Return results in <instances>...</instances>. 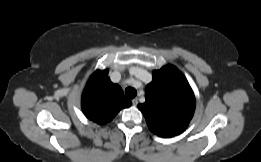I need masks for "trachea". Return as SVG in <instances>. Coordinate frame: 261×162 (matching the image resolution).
<instances>
[{
    "mask_svg": "<svg viewBox=\"0 0 261 162\" xmlns=\"http://www.w3.org/2000/svg\"><path fill=\"white\" fill-rule=\"evenodd\" d=\"M125 95H126V97L129 98V99H133V98L136 97L137 91H136V89H134V88H132V87H128V88H126V90H125Z\"/></svg>",
    "mask_w": 261,
    "mask_h": 162,
    "instance_id": "trachea-1",
    "label": "trachea"
}]
</instances>
